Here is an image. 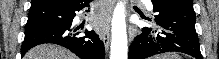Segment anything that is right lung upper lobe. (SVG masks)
I'll return each instance as SVG.
<instances>
[{
	"mask_svg": "<svg viewBox=\"0 0 219 59\" xmlns=\"http://www.w3.org/2000/svg\"><path fill=\"white\" fill-rule=\"evenodd\" d=\"M79 0H31L30 11L40 9L42 7H52V9L70 7Z\"/></svg>",
	"mask_w": 219,
	"mask_h": 59,
	"instance_id": "1",
	"label": "right lung upper lobe"
}]
</instances>
